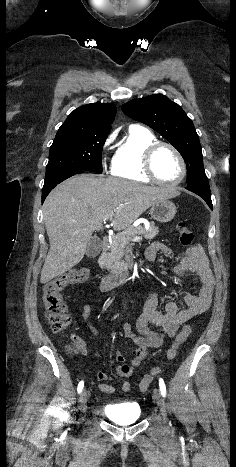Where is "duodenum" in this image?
<instances>
[{
	"instance_id": "1",
	"label": "duodenum",
	"mask_w": 236,
	"mask_h": 467,
	"mask_svg": "<svg viewBox=\"0 0 236 467\" xmlns=\"http://www.w3.org/2000/svg\"><path fill=\"white\" fill-rule=\"evenodd\" d=\"M109 240L107 237H104L102 240V250L106 251L108 249ZM133 276V271L131 269H124L122 271L110 273V274H98L97 276V286L101 292H109L114 288L120 286L126 281L130 280Z\"/></svg>"
}]
</instances>
